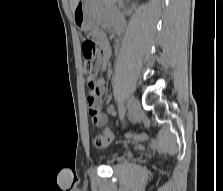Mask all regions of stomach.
Returning <instances> with one entry per match:
<instances>
[{"instance_id": "1", "label": "stomach", "mask_w": 223, "mask_h": 191, "mask_svg": "<svg viewBox=\"0 0 223 191\" xmlns=\"http://www.w3.org/2000/svg\"><path fill=\"white\" fill-rule=\"evenodd\" d=\"M89 4L90 0H79L73 12L75 24L81 31H89L93 26Z\"/></svg>"}]
</instances>
